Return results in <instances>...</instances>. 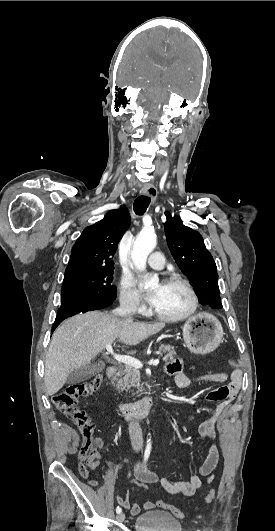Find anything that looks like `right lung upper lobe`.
<instances>
[{
  "label": "right lung upper lobe",
  "instance_id": "cb5924a9",
  "mask_svg": "<svg viewBox=\"0 0 275 531\" xmlns=\"http://www.w3.org/2000/svg\"><path fill=\"white\" fill-rule=\"evenodd\" d=\"M130 225L125 206L107 212L104 218L88 226L74 244L65 273L81 269H114L117 245Z\"/></svg>",
  "mask_w": 275,
  "mask_h": 531
}]
</instances>
